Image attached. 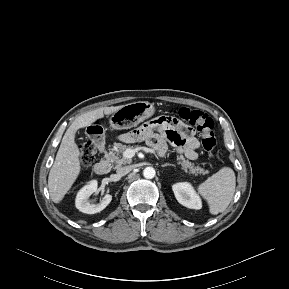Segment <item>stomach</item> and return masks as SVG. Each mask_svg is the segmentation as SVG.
I'll list each match as a JSON object with an SVG mask.
<instances>
[{"label":"stomach","mask_w":289,"mask_h":289,"mask_svg":"<svg viewBox=\"0 0 289 289\" xmlns=\"http://www.w3.org/2000/svg\"><path fill=\"white\" fill-rule=\"evenodd\" d=\"M154 112V105L148 101L133 102L123 105L119 110L114 112L109 122L114 129H130L150 118Z\"/></svg>","instance_id":"1"}]
</instances>
